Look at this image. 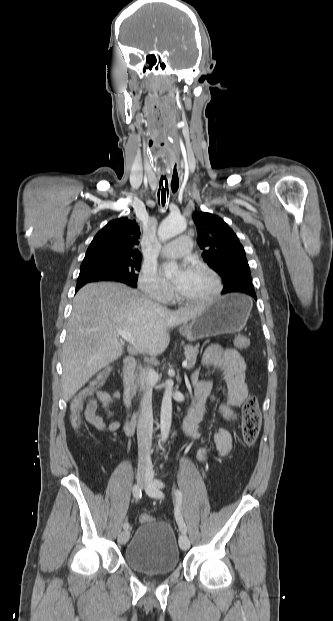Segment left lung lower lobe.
<instances>
[{
  "label": "left lung lower lobe",
  "mask_w": 333,
  "mask_h": 621,
  "mask_svg": "<svg viewBox=\"0 0 333 621\" xmlns=\"http://www.w3.org/2000/svg\"><path fill=\"white\" fill-rule=\"evenodd\" d=\"M238 292L239 293L247 294V295L251 296L252 298H254L255 300H257V297H256V294H255L254 290L244 289V290H240Z\"/></svg>",
  "instance_id": "obj_1"
}]
</instances>
